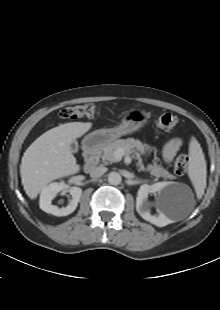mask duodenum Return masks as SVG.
<instances>
[{
    "instance_id": "410a0bca",
    "label": "duodenum",
    "mask_w": 220,
    "mask_h": 310,
    "mask_svg": "<svg viewBox=\"0 0 220 310\" xmlns=\"http://www.w3.org/2000/svg\"><path fill=\"white\" fill-rule=\"evenodd\" d=\"M99 157H100L99 147L93 143H87L85 151V161L83 165L84 171L87 173L92 172L99 162Z\"/></svg>"
}]
</instances>
